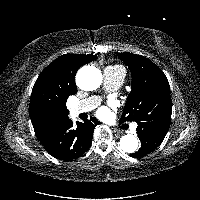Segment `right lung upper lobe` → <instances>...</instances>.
<instances>
[{
  "mask_svg": "<svg viewBox=\"0 0 200 200\" xmlns=\"http://www.w3.org/2000/svg\"><path fill=\"white\" fill-rule=\"evenodd\" d=\"M96 58V55L65 54L41 72L34 84L29 105L35 132L49 120L68 115L62 111L66 107L67 98L76 93V72Z\"/></svg>",
  "mask_w": 200,
  "mask_h": 200,
  "instance_id": "obj_1",
  "label": "right lung upper lobe"
}]
</instances>
